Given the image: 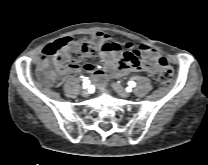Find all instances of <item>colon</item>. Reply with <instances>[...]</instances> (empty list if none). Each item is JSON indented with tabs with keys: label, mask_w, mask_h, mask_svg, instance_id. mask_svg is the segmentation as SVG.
I'll return each instance as SVG.
<instances>
[{
	"label": "colon",
	"mask_w": 208,
	"mask_h": 165,
	"mask_svg": "<svg viewBox=\"0 0 208 165\" xmlns=\"http://www.w3.org/2000/svg\"><path fill=\"white\" fill-rule=\"evenodd\" d=\"M93 51L94 45L88 40L71 37L59 39L46 46L42 51L38 63V76L43 82L52 85L58 77L59 63L72 61L75 64ZM125 58L133 59L134 57L131 53H126ZM159 64L161 70L157 77L158 82L161 85H169L173 80L174 71L164 58L159 59Z\"/></svg>",
	"instance_id": "colon-1"
}]
</instances>
